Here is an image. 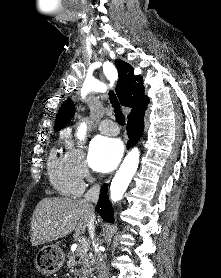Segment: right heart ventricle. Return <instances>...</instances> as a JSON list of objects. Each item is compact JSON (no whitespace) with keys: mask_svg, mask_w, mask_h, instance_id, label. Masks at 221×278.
<instances>
[{"mask_svg":"<svg viewBox=\"0 0 221 278\" xmlns=\"http://www.w3.org/2000/svg\"><path fill=\"white\" fill-rule=\"evenodd\" d=\"M48 171L53 186L62 195L78 196L82 193V180L73 171L66 154L53 150L48 162Z\"/></svg>","mask_w":221,"mask_h":278,"instance_id":"e07e8e85","label":"right heart ventricle"}]
</instances>
